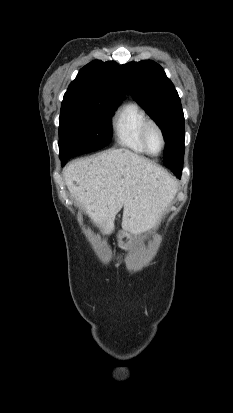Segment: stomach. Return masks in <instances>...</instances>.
Segmentation results:
<instances>
[{"mask_svg": "<svg viewBox=\"0 0 233 413\" xmlns=\"http://www.w3.org/2000/svg\"><path fill=\"white\" fill-rule=\"evenodd\" d=\"M151 234L152 230L149 229L134 238L128 231L124 230L119 235L118 245L124 250H130L135 243L146 241Z\"/></svg>", "mask_w": 233, "mask_h": 413, "instance_id": "stomach-1", "label": "stomach"}]
</instances>
